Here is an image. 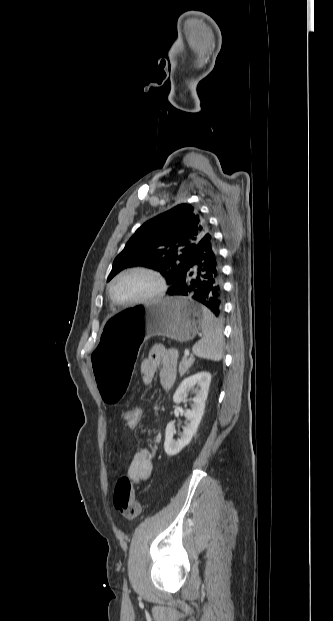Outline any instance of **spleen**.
Masks as SVG:
<instances>
[{
  "label": "spleen",
  "mask_w": 333,
  "mask_h": 621,
  "mask_svg": "<svg viewBox=\"0 0 333 621\" xmlns=\"http://www.w3.org/2000/svg\"><path fill=\"white\" fill-rule=\"evenodd\" d=\"M201 331L203 338L193 346V353L202 359L220 361L223 357L224 346L222 324L205 307L203 308Z\"/></svg>",
  "instance_id": "obj_1"
}]
</instances>
